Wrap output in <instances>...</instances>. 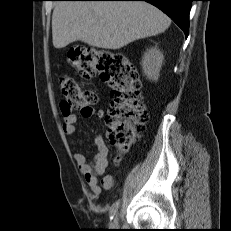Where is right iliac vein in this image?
<instances>
[{
	"label": "right iliac vein",
	"instance_id": "right-iliac-vein-1",
	"mask_svg": "<svg viewBox=\"0 0 231 231\" xmlns=\"http://www.w3.org/2000/svg\"><path fill=\"white\" fill-rule=\"evenodd\" d=\"M118 221H119L118 214H114L112 220L110 221L109 226L111 228H118V226H119Z\"/></svg>",
	"mask_w": 231,
	"mask_h": 231
}]
</instances>
